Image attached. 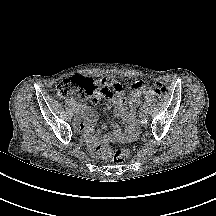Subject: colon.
Wrapping results in <instances>:
<instances>
[{
	"instance_id": "5ec220e1",
	"label": "colon",
	"mask_w": 216,
	"mask_h": 216,
	"mask_svg": "<svg viewBox=\"0 0 216 216\" xmlns=\"http://www.w3.org/2000/svg\"><path fill=\"white\" fill-rule=\"evenodd\" d=\"M135 86L145 95L154 94L164 96L167 93V87L159 82L147 83L139 81L135 83ZM106 88L107 83L104 79L96 83L93 79L76 75L65 79L57 86V95L60 98L78 97L93 100L103 95L106 92ZM97 153L101 156L111 155L116 164L125 162L130 155L128 149L111 150L105 145H99L97 147Z\"/></svg>"
}]
</instances>
